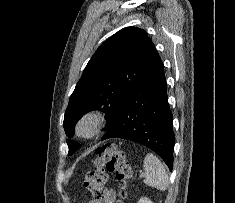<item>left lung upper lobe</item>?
I'll return each instance as SVG.
<instances>
[{"label":"left lung upper lobe","mask_w":235,"mask_h":203,"mask_svg":"<svg viewBox=\"0 0 235 203\" xmlns=\"http://www.w3.org/2000/svg\"><path fill=\"white\" fill-rule=\"evenodd\" d=\"M153 42L143 29L126 27L103 42L86 65L72 93L64 116L68 137L86 112L100 110L107 115V127L120 113L127 98L156 57ZM68 155L80 145L67 140Z\"/></svg>","instance_id":"1"}]
</instances>
